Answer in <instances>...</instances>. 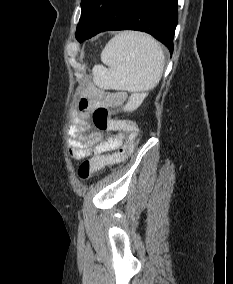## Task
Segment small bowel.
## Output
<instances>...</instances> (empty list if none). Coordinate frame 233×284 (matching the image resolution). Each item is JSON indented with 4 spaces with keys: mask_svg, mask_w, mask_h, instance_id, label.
<instances>
[{
    "mask_svg": "<svg viewBox=\"0 0 233 284\" xmlns=\"http://www.w3.org/2000/svg\"><path fill=\"white\" fill-rule=\"evenodd\" d=\"M126 98L125 92L105 91L94 86H88L81 91L69 130V153L72 158L81 160L89 156H99L113 152L121 146L124 130H117L116 134L103 139L99 132L87 133L88 119L95 108L119 107L124 104ZM124 122L127 125H135L131 121Z\"/></svg>",
    "mask_w": 233,
    "mask_h": 284,
    "instance_id": "obj_1",
    "label": "small bowel"
}]
</instances>
